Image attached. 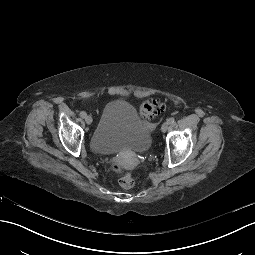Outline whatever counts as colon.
<instances>
[{"mask_svg":"<svg viewBox=\"0 0 255 255\" xmlns=\"http://www.w3.org/2000/svg\"><path fill=\"white\" fill-rule=\"evenodd\" d=\"M163 109V104L155 99H150L143 102L139 108L140 115L148 119L153 115L160 113ZM113 170L120 176L119 184L125 189L132 188L135 185V177L131 172H125L124 167L120 163L113 164Z\"/></svg>","mask_w":255,"mask_h":255,"instance_id":"5ec220e1","label":"colon"}]
</instances>
